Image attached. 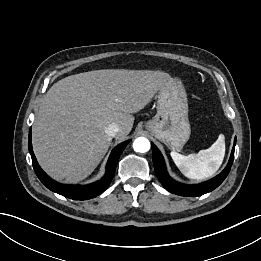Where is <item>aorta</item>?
<instances>
[{"mask_svg": "<svg viewBox=\"0 0 261 261\" xmlns=\"http://www.w3.org/2000/svg\"><path fill=\"white\" fill-rule=\"evenodd\" d=\"M133 148L136 152L145 153L150 149V142L145 137H139L134 140Z\"/></svg>", "mask_w": 261, "mask_h": 261, "instance_id": "1", "label": "aorta"}]
</instances>
